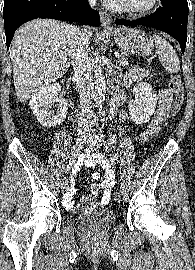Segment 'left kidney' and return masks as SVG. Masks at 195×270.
Listing matches in <instances>:
<instances>
[{
    "label": "left kidney",
    "instance_id": "1",
    "mask_svg": "<svg viewBox=\"0 0 195 270\" xmlns=\"http://www.w3.org/2000/svg\"><path fill=\"white\" fill-rule=\"evenodd\" d=\"M134 99L129 102V114L136 124L147 123L154 114L157 95L150 84L142 82L133 89Z\"/></svg>",
    "mask_w": 195,
    "mask_h": 270
}]
</instances>
